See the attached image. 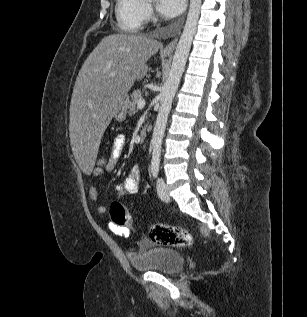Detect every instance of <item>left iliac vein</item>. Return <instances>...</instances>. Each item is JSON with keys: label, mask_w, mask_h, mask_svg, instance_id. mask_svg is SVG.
I'll use <instances>...</instances> for the list:
<instances>
[{"label": "left iliac vein", "mask_w": 307, "mask_h": 317, "mask_svg": "<svg viewBox=\"0 0 307 317\" xmlns=\"http://www.w3.org/2000/svg\"><path fill=\"white\" fill-rule=\"evenodd\" d=\"M157 193L163 202L170 201V195H169L168 188H167V186L162 178L157 179Z\"/></svg>", "instance_id": "1"}]
</instances>
